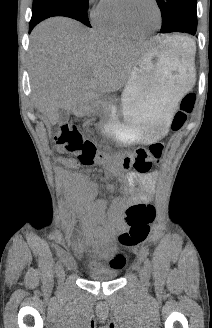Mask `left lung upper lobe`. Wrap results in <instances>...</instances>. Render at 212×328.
Returning a JSON list of instances; mask_svg holds the SVG:
<instances>
[{
	"mask_svg": "<svg viewBox=\"0 0 212 328\" xmlns=\"http://www.w3.org/2000/svg\"><path fill=\"white\" fill-rule=\"evenodd\" d=\"M161 10V33L195 31L197 0H156Z\"/></svg>",
	"mask_w": 212,
	"mask_h": 328,
	"instance_id": "left-lung-upper-lobe-1",
	"label": "left lung upper lobe"
}]
</instances>
